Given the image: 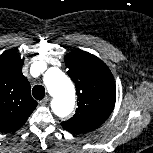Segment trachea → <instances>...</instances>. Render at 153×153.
I'll use <instances>...</instances> for the list:
<instances>
[{
	"instance_id": "1",
	"label": "trachea",
	"mask_w": 153,
	"mask_h": 153,
	"mask_svg": "<svg viewBox=\"0 0 153 153\" xmlns=\"http://www.w3.org/2000/svg\"><path fill=\"white\" fill-rule=\"evenodd\" d=\"M32 94L35 99L42 100L45 96V88L42 85H35Z\"/></svg>"
}]
</instances>
